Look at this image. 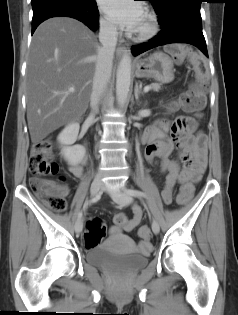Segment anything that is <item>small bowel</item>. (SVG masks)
<instances>
[{
  "label": "small bowel",
  "mask_w": 238,
  "mask_h": 315,
  "mask_svg": "<svg viewBox=\"0 0 238 315\" xmlns=\"http://www.w3.org/2000/svg\"><path fill=\"white\" fill-rule=\"evenodd\" d=\"M168 129L166 123H156L152 125L143 135V142L147 143L145 157L149 163L158 165L162 172L166 173L162 198L165 203H171L173 199V189L176 184L181 185V190L189 188L193 191V185L198 181L205 170L207 164V137L202 132H197V124L192 118H179L172 126L174 142L170 141L163 133ZM174 147L180 149V156L184 164L179 167L176 160L171 159ZM86 162L83 158L82 163L70 167L71 173L80 177L82 175V165ZM61 195L68 194L67 187L59 189ZM143 218V211L139 205L132 208V218L127 220L122 227L113 226L112 233H119L122 229L131 231L139 225ZM152 248L148 238L139 243L140 252H148Z\"/></svg>",
  "instance_id": "1"
}]
</instances>
